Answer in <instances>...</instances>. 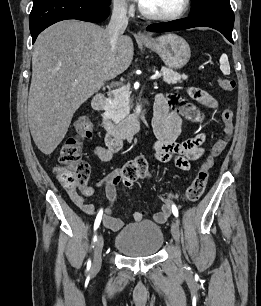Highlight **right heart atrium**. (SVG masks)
<instances>
[{
    "instance_id": "d8ad5b80",
    "label": "right heart atrium",
    "mask_w": 261,
    "mask_h": 306,
    "mask_svg": "<svg viewBox=\"0 0 261 306\" xmlns=\"http://www.w3.org/2000/svg\"><path fill=\"white\" fill-rule=\"evenodd\" d=\"M111 2L113 10L119 14H125L131 9L128 0H111Z\"/></svg>"
}]
</instances>
